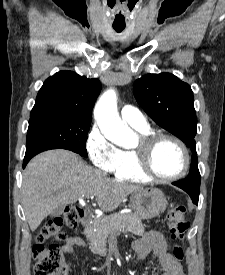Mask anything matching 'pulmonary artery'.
I'll list each match as a JSON object with an SVG mask.
<instances>
[{
  "instance_id": "obj_1",
  "label": "pulmonary artery",
  "mask_w": 225,
  "mask_h": 275,
  "mask_svg": "<svg viewBox=\"0 0 225 275\" xmlns=\"http://www.w3.org/2000/svg\"><path fill=\"white\" fill-rule=\"evenodd\" d=\"M120 114L122 119L134 128H149L145 116L132 105H125Z\"/></svg>"
}]
</instances>
